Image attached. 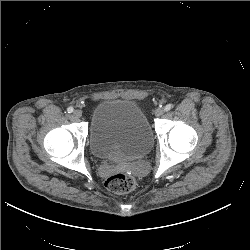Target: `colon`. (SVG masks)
<instances>
[{
	"mask_svg": "<svg viewBox=\"0 0 250 250\" xmlns=\"http://www.w3.org/2000/svg\"><path fill=\"white\" fill-rule=\"evenodd\" d=\"M106 188L116 194H127L137 186V180L128 173H117L105 181Z\"/></svg>",
	"mask_w": 250,
	"mask_h": 250,
	"instance_id": "5ec220e1",
	"label": "colon"
}]
</instances>
